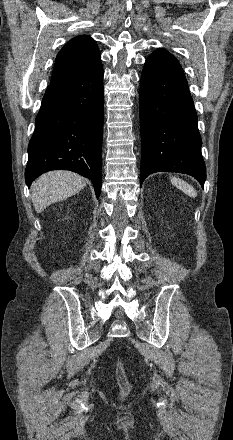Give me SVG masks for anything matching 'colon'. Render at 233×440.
<instances>
[{"label":"colon","mask_w":233,"mask_h":440,"mask_svg":"<svg viewBox=\"0 0 233 440\" xmlns=\"http://www.w3.org/2000/svg\"><path fill=\"white\" fill-rule=\"evenodd\" d=\"M116 379L121 391V395L123 397L127 396L130 392V384L126 376L124 366L121 362H119L116 367Z\"/></svg>","instance_id":"5ec220e1"}]
</instances>
